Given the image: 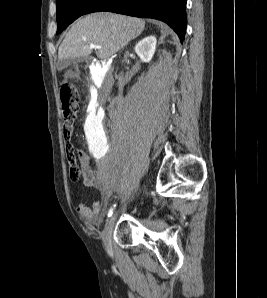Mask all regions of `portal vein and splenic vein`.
I'll use <instances>...</instances> for the list:
<instances>
[{
    "mask_svg": "<svg viewBox=\"0 0 267 298\" xmlns=\"http://www.w3.org/2000/svg\"><path fill=\"white\" fill-rule=\"evenodd\" d=\"M91 48H93L95 50H99V49H101V46H99V45H91Z\"/></svg>",
    "mask_w": 267,
    "mask_h": 298,
    "instance_id": "portal-vein-and-splenic-vein-1",
    "label": "portal vein and splenic vein"
}]
</instances>
